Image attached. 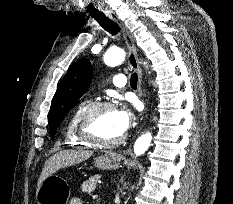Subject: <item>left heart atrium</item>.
Returning a JSON list of instances; mask_svg holds the SVG:
<instances>
[{"instance_id": "obj_1", "label": "left heart atrium", "mask_w": 233, "mask_h": 204, "mask_svg": "<svg viewBox=\"0 0 233 204\" xmlns=\"http://www.w3.org/2000/svg\"><path fill=\"white\" fill-rule=\"evenodd\" d=\"M114 114L117 127L123 134L131 125L132 114L128 109L124 107L114 110Z\"/></svg>"}]
</instances>
